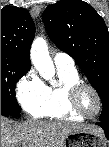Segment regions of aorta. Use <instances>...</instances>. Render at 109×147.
<instances>
[{"label": "aorta", "mask_w": 109, "mask_h": 147, "mask_svg": "<svg viewBox=\"0 0 109 147\" xmlns=\"http://www.w3.org/2000/svg\"><path fill=\"white\" fill-rule=\"evenodd\" d=\"M30 56L32 64L38 70L40 75L44 79L53 82L55 68L49 55L47 42L44 38L37 37L34 39L31 46Z\"/></svg>", "instance_id": "762f6f07"}]
</instances>
